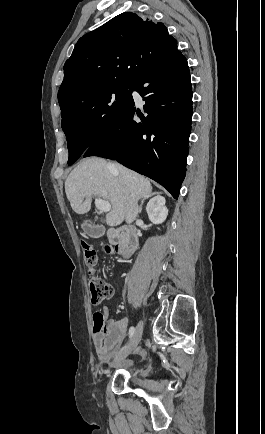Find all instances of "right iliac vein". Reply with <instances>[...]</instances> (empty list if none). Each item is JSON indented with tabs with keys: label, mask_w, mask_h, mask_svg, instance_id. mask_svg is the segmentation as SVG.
I'll list each match as a JSON object with an SVG mask.
<instances>
[{
	"label": "right iliac vein",
	"mask_w": 265,
	"mask_h": 434,
	"mask_svg": "<svg viewBox=\"0 0 265 434\" xmlns=\"http://www.w3.org/2000/svg\"><path fill=\"white\" fill-rule=\"evenodd\" d=\"M142 332H143V324L140 321L135 328L134 336H133V339H132L130 345L126 349L120 351L116 355L115 359H123V358L127 357L130 353H132L137 348V345L141 341Z\"/></svg>",
	"instance_id": "right-iliac-vein-1"
}]
</instances>
